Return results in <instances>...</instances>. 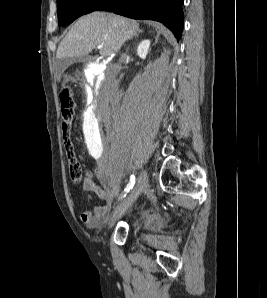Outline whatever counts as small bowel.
<instances>
[{"label":"small bowel","mask_w":267,"mask_h":298,"mask_svg":"<svg viewBox=\"0 0 267 298\" xmlns=\"http://www.w3.org/2000/svg\"><path fill=\"white\" fill-rule=\"evenodd\" d=\"M95 173L99 174V171L96 170ZM83 189L85 191L95 193L100 199L104 201V204L96 206L93 211L84 210L80 214V219L82 220V222L89 226L97 227L101 225L105 220L110 210L111 203L118 192L119 185L116 183L107 190L103 189L95 182L93 172H91L90 170H86V175L83 180Z\"/></svg>","instance_id":"obj_1"}]
</instances>
